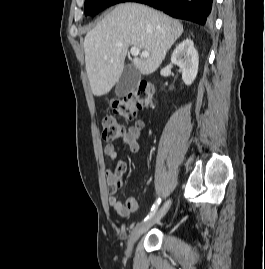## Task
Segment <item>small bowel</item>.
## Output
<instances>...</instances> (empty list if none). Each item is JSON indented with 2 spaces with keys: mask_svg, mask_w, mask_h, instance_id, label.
<instances>
[{
  "mask_svg": "<svg viewBox=\"0 0 265 269\" xmlns=\"http://www.w3.org/2000/svg\"><path fill=\"white\" fill-rule=\"evenodd\" d=\"M143 123L130 127L125 135L122 136V143L129 148L132 153H137L140 149L139 137L143 130ZM104 153L111 160H117L116 146L108 143L104 147ZM127 175V166L124 162L119 161L116 166L110 167L106 172V182L109 187V204L120 216L126 217L135 212L138 208V202L135 198L130 197L125 203L118 198V191L123 186V180Z\"/></svg>",
  "mask_w": 265,
  "mask_h": 269,
  "instance_id": "small-bowel-1",
  "label": "small bowel"
}]
</instances>
